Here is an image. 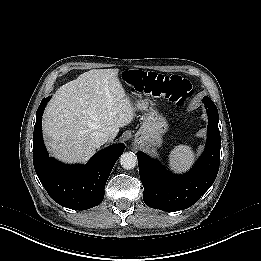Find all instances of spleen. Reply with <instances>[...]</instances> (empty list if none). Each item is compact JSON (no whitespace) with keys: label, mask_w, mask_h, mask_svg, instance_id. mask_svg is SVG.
I'll return each instance as SVG.
<instances>
[{"label":"spleen","mask_w":261,"mask_h":261,"mask_svg":"<svg viewBox=\"0 0 261 261\" xmlns=\"http://www.w3.org/2000/svg\"><path fill=\"white\" fill-rule=\"evenodd\" d=\"M195 161V153L188 145L175 146L169 154V165L175 172L187 171Z\"/></svg>","instance_id":"3e777b00"}]
</instances>
